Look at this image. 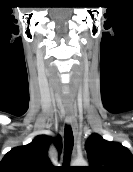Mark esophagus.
I'll return each instance as SVG.
<instances>
[{
  "instance_id": "obj_1",
  "label": "esophagus",
  "mask_w": 133,
  "mask_h": 172,
  "mask_svg": "<svg viewBox=\"0 0 133 172\" xmlns=\"http://www.w3.org/2000/svg\"><path fill=\"white\" fill-rule=\"evenodd\" d=\"M65 120H66L67 124L71 126V128L73 130V134L76 137L77 136V123L70 110L65 111Z\"/></svg>"
}]
</instances>
